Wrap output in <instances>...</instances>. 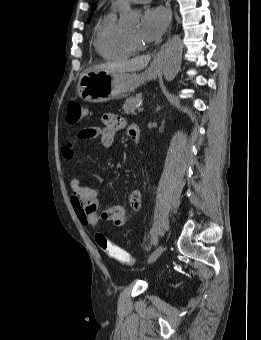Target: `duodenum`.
Here are the masks:
<instances>
[{"label": "duodenum", "instance_id": "1", "mask_svg": "<svg viewBox=\"0 0 261 340\" xmlns=\"http://www.w3.org/2000/svg\"><path fill=\"white\" fill-rule=\"evenodd\" d=\"M133 138H134L135 141H138V140H139V136H138V135H134Z\"/></svg>", "mask_w": 261, "mask_h": 340}]
</instances>
